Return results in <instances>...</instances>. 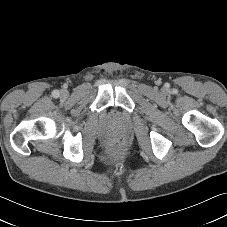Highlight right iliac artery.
Wrapping results in <instances>:
<instances>
[{
	"mask_svg": "<svg viewBox=\"0 0 227 227\" xmlns=\"http://www.w3.org/2000/svg\"><path fill=\"white\" fill-rule=\"evenodd\" d=\"M52 95H53V97H58L59 96V91L58 90H54L52 92Z\"/></svg>",
	"mask_w": 227,
	"mask_h": 227,
	"instance_id": "obj_1",
	"label": "right iliac artery"
}]
</instances>
